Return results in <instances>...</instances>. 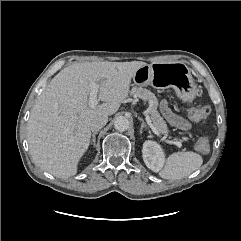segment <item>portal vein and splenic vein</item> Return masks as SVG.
I'll list each match as a JSON object with an SVG mask.
<instances>
[{
    "label": "portal vein and splenic vein",
    "mask_w": 241,
    "mask_h": 241,
    "mask_svg": "<svg viewBox=\"0 0 241 241\" xmlns=\"http://www.w3.org/2000/svg\"><path fill=\"white\" fill-rule=\"evenodd\" d=\"M98 85L96 83H92L90 85V94H89V106L91 108H95L98 104ZM146 117V122L148 123V125L150 126V128L152 129V131L157 135L160 136V133L157 131V129L154 127V125L152 124V121L149 117L148 114L145 115ZM163 141H166L169 144H174L177 147L181 148L182 144L179 141H172V140H167L165 137H162Z\"/></svg>",
    "instance_id": "obj_1"
}]
</instances>
